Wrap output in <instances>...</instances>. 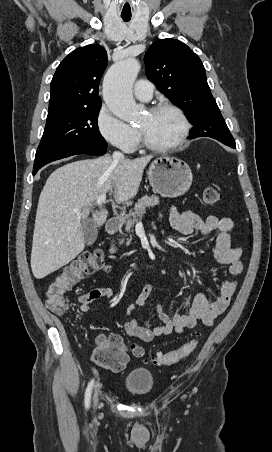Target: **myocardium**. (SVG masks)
Masks as SVG:
<instances>
[{"instance_id": "1", "label": "myocardium", "mask_w": 272, "mask_h": 452, "mask_svg": "<svg viewBox=\"0 0 272 452\" xmlns=\"http://www.w3.org/2000/svg\"><path fill=\"white\" fill-rule=\"evenodd\" d=\"M160 111L172 112L179 119L180 131H179V134L177 135L176 139L173 142L168 143V144H163V145L153 144L146 138L144 132L140 128H138L137 130H138L140 143L143 146H145L146 148L153 150V151L165 152V151L175 150L178 147H180L185 142L186 138L188 137V134L190 131L189 120L186 117V115L184 114V112L179 107H177L173 104H168V103L158 104L149 109L150 114H155Z\"/></svg>"}]
</instances>
